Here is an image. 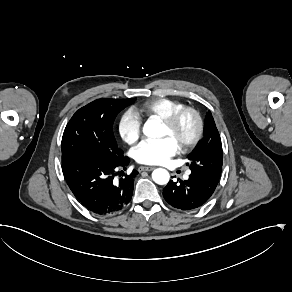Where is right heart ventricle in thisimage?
I'll use <instances>...</instances> for the list:
<instances>
[{
  "label": "right heart ventricle",
  "mask_w": 292,
  "mask_h": 292,
  "mask_svg": "<svg viewBox=\"0 0 292 292\" xmlns=\"http://www.w3.org/2000/svg\"><path fill=\"white\" fill-rule=\"evenodd\" d=\"M182 106L183 104L178 100L169 97H157L142 102L139 106V112L146 117L156 115L164 119Z\"/></svg>",
  "instance_id": "right-heart-ventricle-1"
}]
</instances>
